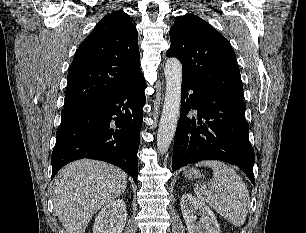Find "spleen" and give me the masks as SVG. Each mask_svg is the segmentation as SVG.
Listing matches in <instances>:
<instances>
[{"label":"spleen","mask_w":306,"mask_h":233,"mask_svg":"<svg viewBox=\"0 0 306 233\" xmlns=\"http://www.w3.org/2000/svg\"><path fill=\"white\" fill-rule=\"evenodd\" d=\"M196 166H206L213 170V178L208 183L194 188L196 196L207 202L216 212L236 227L245 223L250 197L243 179L231 167L215 160L200 161ZM215 189V193L210 190Z\"/></svg>","instance_id":"3e777b00"}]
</instances>
